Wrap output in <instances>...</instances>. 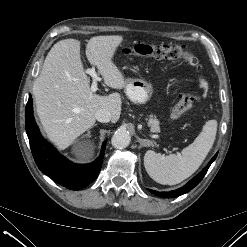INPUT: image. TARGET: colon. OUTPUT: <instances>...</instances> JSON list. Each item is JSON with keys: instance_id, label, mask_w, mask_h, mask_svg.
<instances>
[{"instance_id": "1", "label": "colon", "mask_w": 247, "mask_h": 247, "mask_svg": "<svg viewBox=\"0 0 247 247\" xmlns=\"http://www.w3.org/2000/svg\"><path fill=\"white\" fill-rule=\"evenodd\" d=\"M124 54L140 56L154 59H183L194 67L199 66V60L196 54L189 48L178 45L159 44L151 45L139 43L123 49ZM199 99L197 92L191 91L183 94L179 102L174 107L171 117L174 120L182 118Z\"/></svg>"}]
</instances>
